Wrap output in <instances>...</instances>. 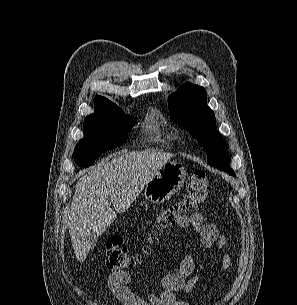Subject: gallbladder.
Here are the masks:
<instances>
[{"instance_id": "gallbladder-1", "label": "gallbladder", "mask_w": 297, "mask_h": 305, "mask_svg": "<svg viewBox=\"0 0 297 305\" xmlns=\"http://www.w3.org/2000/svg\"><path fill=\"white\" fill-rule=\"evenodd\" d=\"M87 242H88V245H89L90 249H92L97 244V238L96 237H88Z\"/></svg>"}]
</instances>
